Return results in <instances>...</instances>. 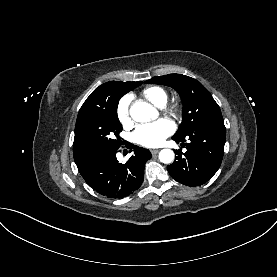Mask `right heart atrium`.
Masks as SVG:
<instances>
[{
    "mask_svg": "<svg viewBox=\"0 0 277 277\" xmlns=\"http://www.w3.org/2000/svg\"><path fill=\"white\" fill-rule=\"evenodd\" d=\"M130 103L131 98L129 95H126L121 98L117 105V117L123 125H128L131 122Z\"/></svg>",
    "mask_w": 277,
    "mask_h": 277,
    "instance_id": "right-heart-atrium-1",
    "label": "right heart atrium"
}]
</instances>
